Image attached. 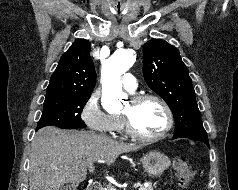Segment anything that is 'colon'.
I'll return each instance as SVG.
<instances>
[{
	"mask_svg": "<svg viewBox=\"0 0 238 190\" xmlns=\"http://www.w3.org/2000/svg\"><path fill=\"white\" fill-rule=\"evenodd\" d=\"M176 177L181 186L186 187L192 181L195 175L194 167L183 159H178L173 164Z\"/></svg>",
	"mask_w": 238,
	"mask_h": 190,
	"instance_id": "1",
	"label": "colon"
}]
</instances>
